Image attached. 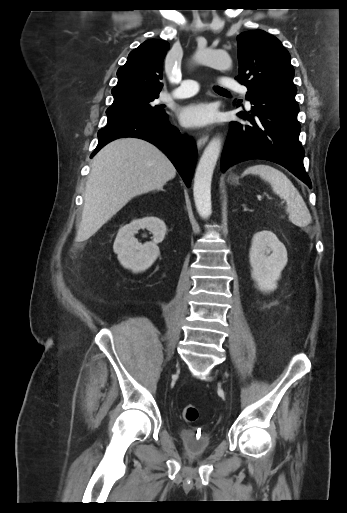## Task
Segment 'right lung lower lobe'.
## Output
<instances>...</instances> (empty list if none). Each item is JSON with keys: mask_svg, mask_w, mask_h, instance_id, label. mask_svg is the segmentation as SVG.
<instances>
[{"mask_svg": "<svg viewBox=\"0 0 347 513\" xmlns=\"http://www.w3.org/2000/svg\"><path fill=\"white\" fill-rule=\"evenodd\" d=\"M121 137L140 138L156 145L174 164L187 187L190 186L197 158L196 146L190 137L183 136L169 124L167 114L158 120L133 116L109 121L99 130V142L91 157L107 143Z\"/></svg>", "mask_w": 347, "mask_h": 513, "instance_id": "right-lung-lower-lobe-1", "label": "right lung lower lobe"}]
</instances>
